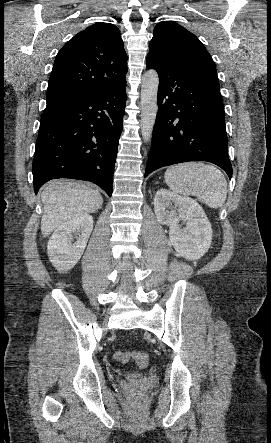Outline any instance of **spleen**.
<instances>
[{
  "label": "spleen",
  "instance_id": "obj_1",
  "mask_svg": "<svg viewBox=\"0 0 271 443\" xmlns=\"http://www.w3.org/2000/svg\"><path fill=\"white\" fill-rule=\"evenodd\" d=\"M164 180L175 194L196 196L210 208H221L226 202L227 182L215 166L201 162L171 166L166 170Z\"/></svg>",
  "mask_w": 271,
  "mask_h": 443
}]
</instances>
